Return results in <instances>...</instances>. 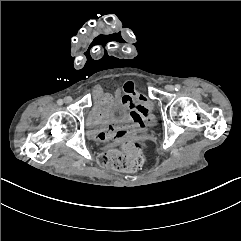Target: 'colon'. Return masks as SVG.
<instances>
[{"label": "colon", "instance_id": "obj_1", "mask_svg": "<svg viewBox=\"0 0 241 241\" xmlns=\"http://www.w3.org/2000/svg\"><path fill=\"white\" fill-rule=\"evenodd\" d=\"M141 150V146L134 143H126L123 149H108L99 154L97 165L115 170L140 168L143 164Z\"/></svg>", "mask_w": 241, "mask_h": 241}]
</instances>
